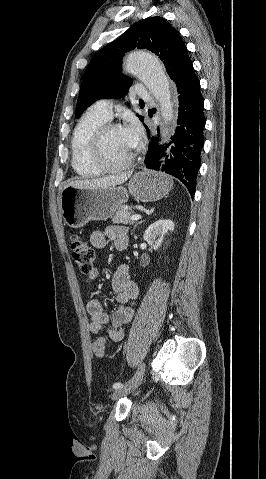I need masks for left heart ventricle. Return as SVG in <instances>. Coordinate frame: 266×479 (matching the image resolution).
Instances as JSON below:
<instances>
[{"mask_svg": "<svg viewBox=\"0 0 266 479\" xmlns=\"http://www.w3.org/2000/svg\"><path fill=\"white\" fill-rule=\"evenodd\" d=\"M133 153V148L123 129L110 131L103 142V154L111 164L125 162Z\"/></svg>", "mask_w": 266, "mask_h": 479, "instance_id": "b2bd125f", "label": "left heart ventricle"}]
</instances>
